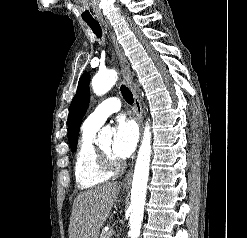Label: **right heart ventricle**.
Wrapping results in <instances>:
<instances>
[{
  "label": "right heart ventricle",
  "instance_id": "right-heart-ventricle-1",
  "mask_svg": "<svg viewBox=\"0 0 247 238\" xmlns=\"http://www.w3.org/2000/svg\"><path fill=\"white\" fill-rule=\"evenodd\" d=\"M98 128L83 125L74 161V176L79 188L87 189L106 182L112 174L104 171L98 163L94 138Z\"/></svg>",
  "mask_w": 247,
  "mask_h": 238
}]
</instances>
